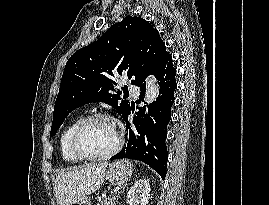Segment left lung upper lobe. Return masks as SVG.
<instances>
[{
	"instance_id": "obj_1",
	"label": "left lung upper lobe",
	"mask_w": 269,
	"mask_h": 205,
	"mask_svg": "<svg viewBox=\"0 0 269 205\" xmlns=\"http://www.w3.org/2000/svg\"><path fill=\"white\" fill-rule=\"evenodd\" d=\"M168 54L158 30L135 16L125 17L100 39L76 51L63 72L50 138L70 112L87 103L104 102L123 117L130 104L120 102L121 91L114 93L115 77L127 75L132 84L141 87Z\"/></svg>"
}]
</instances>
